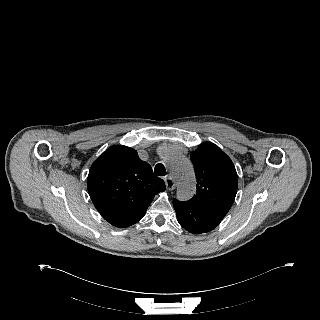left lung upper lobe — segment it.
Segmentation results:
<instances>
[{
    "label": "left lung upper lobe",
    "instance_id": "1",
    "mask_svg": "<svg viewBox=\"0 0 320 320\" xmlns=\"http://www.w3.org/2000/svg\"><path fill=\"white\" fill-rule=\"evenodd\" d=\"M190 158L197 178V190L189 202L227 213L238 185L231 159L211 142L199 145Z\"/></svg>",
    "mask_w": 320,
    "mask_h": 320
}]
</instances>
